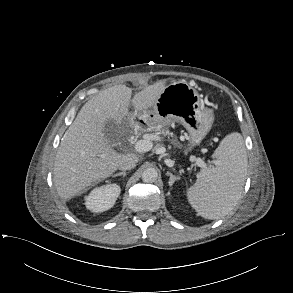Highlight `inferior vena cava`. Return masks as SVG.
Wrapping results in <instances>:
<instances>
[{
	"instance_id": "obj_1",
	"label": "inferior vena cava",
	"mask_w": 293,
	"mask_h": 293,
	"mask_svg": "<svg viewBox=\"0 0 293 293\" xmlns=\"http://www.w3.org/2000/svg\"><path fill=\"white\" fill-rule=\"evenodd\" d=\"M135 166H136V160L132 156L127 155L124 161L119 166V169L122 171L131 170Z\"/></svg>"
}]
</instances>
